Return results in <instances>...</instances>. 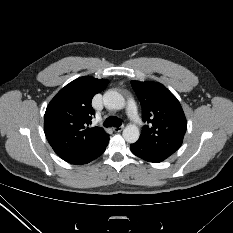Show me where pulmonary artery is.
I'll return each instance as SVG.
<instances>
[{
  "label": "pulmonary artery",
  "mask_w": 233,
  "mask_h": 233,
  "mask_svg": "<svg viewBox=\"0 0 233 233\" xmlns=\"http://www.w3.org/2000/svg\"><path fill=\"white\" fill-rule=\"evenodd\" d=\"M127 110H128V114H129L131 120L135 124L139 125V124L142 123L140 115L138 113L137 106H136V104H135V102L133 100L128 101Z\"/></svg>",
  "instance_id": "e3ab8cb5"
}]
</instances>
